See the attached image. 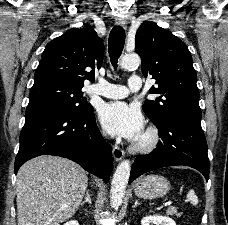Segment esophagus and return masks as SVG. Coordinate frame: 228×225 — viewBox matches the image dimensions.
I'll list each match as a JSON object with an SVG mask.
<instances>
[{
  "mask_svg": "<svg viewBox=\"0 0 228 225\" xmlns=\"http://www.w3.org/2000/svg\"><path fill=\"white\" fill-rule=\"evenodd\" d=\"M115 22L117 25L121 26L123 29L127 28V21L125 19L116 18ZM112 153H113V157H114L115 161H117V162L122 160V158L124 156L123 150L117 145L113 146Z\"/></svg>",
  "mask_w": 228,
  "mask_h": 225,
  "instance_id": "34e87169",
  "label": "esophagus"
}]
</instances>
